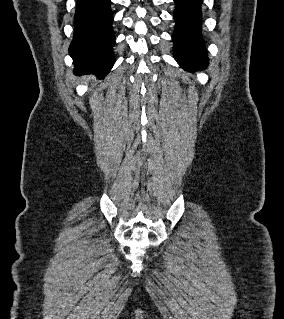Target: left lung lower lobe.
Listing matches in <instances>:
<instances>
[{"label":"left lung lower lobe","instance_id":"obj_1","mask_svg":"<svg viewBox=\"0 0 284 319\" xmlns=\"http://www.w3.org/2000/svg\"><path fill=\"white\" fill-rule=\"evenodd\" d=\"M176 26L172 35L174 58L185 70L202 69L207 64V54L201 39L202 0H174Z\"/></svg>","mask_w":284,"mask_h":319}]
</instances>
